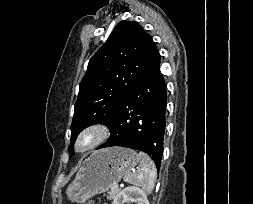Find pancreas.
<instances>
[{
    "label": "pancreas",
    "mask_w": 253,
    "mask_h": 204,
    "mask_svg": "<svg viewBox=\"0 0 253 204\" xmlns=\"http://www.w3.org/2000/svg\"><path fill=\"white\" fill-rule=\"evenodd\" d=\"M120 192V189L119 188H114V185L110 188L108 194V199H115L116 197V194H118Z\"/></svg>",
    "instance_id": "cf45deb5"
}]
</instances>
